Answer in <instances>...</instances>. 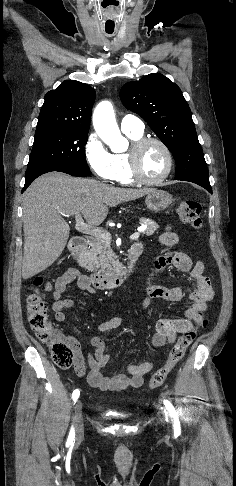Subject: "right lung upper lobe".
I'll use <instances>...</instances> for the list:
<instances>
[{"instance_id": "1", "label": "right lung upper lobe", "mask_w": 236, "mask_h": 486, "mask_svg": "<svg viewBox=\"0 0 236 486\" xmlns=\"http://www.w3.org/2000/svg\"><path fill=\"white\" fill-rule=\"evenodd\" d=\"M94 100L95 90L89 85L75 80L62 82L45 95L37 129L88 131Z\"/></svg>"}]
</instances>
